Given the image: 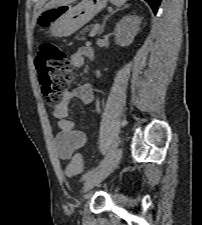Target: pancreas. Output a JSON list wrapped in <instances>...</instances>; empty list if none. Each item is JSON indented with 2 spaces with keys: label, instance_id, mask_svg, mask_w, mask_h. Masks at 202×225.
<instances>
[{
  "label": "pancreas",
  "instance_id": "obj_1",
  "mask_svg": "<svg viewBox=\"0 0 202 225\" xmlns=\"http://www.w3.org/2000/svg\"><path fill=\"white\" fill-rule=\"evenodd\" d=\"M93 27H94L93 25H90L89 27H86V28L84 29V32L89 31V30L92 29ZM81 33H83V32H81Z\"/></svg>",
  "mask_w": 202,
  "mask_h": 225
}]
</instances>
